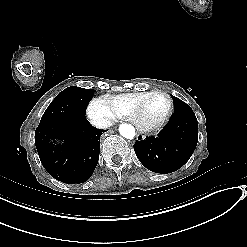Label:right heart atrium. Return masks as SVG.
Wrapping results in <instances>:
<instances>
[{"mask_svg": "<svg viewBox=\"0 0 247 247\" xmlns=\"http://www.w3.org/2000/svg\"><path fill=\"white\" fill-rule=\"evenodd\" d=\"M87 115L96 125H107L113 119L111 108L101 99L93 98L87 107Z\"/></svg>", "mask_w": 247, "mask_h": 247, "instance_id": "d8ad5b80", "label": "right heart atrium"}]
</instances>
